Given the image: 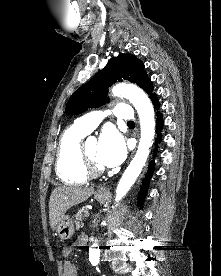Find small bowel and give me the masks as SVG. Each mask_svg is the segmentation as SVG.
<instances>
[{"mask_svg": "<svg viewBox=\"0 0 221 276\" xmlns=\"http://www.w3.org/2000/svg\"><path fill=\"white\" fill-rule=\"evenodd\" d=\"M86 237L85 236H80L75 243V246H83L86 243ZM72 251V248L67 247L63 250V254L65 256L69 255L70 252ZM64 276H78V270L77 267L71 263L70 261H66L64 263Z\"/></svg>", "mask_w": 221, "mask_h": 276, "instance_id": "obj_1", "label": "small bowel"}]
</instances>
